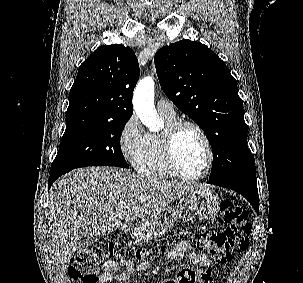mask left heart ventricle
<instances>
[{
	"label": "left heart ventricle",
	"instance_id": "1",
	"mask_svg": "<svg viewBox=\"0 0 303 283\" xmlns=\"http://www.w3.org/2000/svg\"><path fill=\"white\" fill-rule=\"evenodd\" d=\"M176 158L181 171L200 175L207 163V151L201 137L191 128L181 130L176 141Z\"/></svg>",
	"mask_w": 303,
	"mask_h": 283
}]
</instances>
